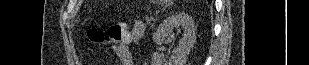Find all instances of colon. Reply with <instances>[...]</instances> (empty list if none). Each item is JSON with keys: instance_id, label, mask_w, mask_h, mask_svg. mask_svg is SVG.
Listing matches in <instances>:
<instances>
[{"instance_id": "obj_1", "label": "colon", "mask_w": 309, "mask_h": 65, "mask_svg": "<svg viewBox=\"0 0 309 65\" xmlns=\"http://www.w3.org/2000/svg\"><path fill=\"white\" fill-rule=\"evenodd\" d=\"M127 26L124 23H114L106 28H92L88 30L89 40L97 45L115 44L120 42L127 33Z\"/></svg>"}]
</instances>
